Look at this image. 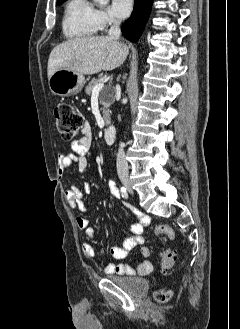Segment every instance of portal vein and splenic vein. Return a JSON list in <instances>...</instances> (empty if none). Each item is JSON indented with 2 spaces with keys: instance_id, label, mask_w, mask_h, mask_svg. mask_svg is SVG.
<instances>
[{
  "instance_id": "portal-vein-and-splenic-vein-1",
  "label": "portal vein and splenic vein",
  "mask_w": 240,
  "mask_h": 329,
  "mask_svg": "<svg viewBox=\"0 0 240 329\" xmlns=\"http://www.w3.org/2000/svg\"><path fill=\"white\" fill-rule=\"evenodd\" d=\"M103 87H104V82H100L97 85H95L92 90V96H99V93L101 92Z\"/></svg>"
}]
</instances>
